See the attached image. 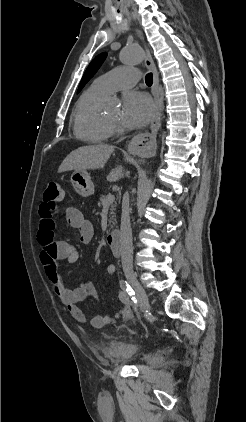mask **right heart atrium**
Returning a JSON list of instances; mask_svg holds the SVG:
<instances>
[{"label": "right heart atrium", "mask_w": 246, "mask_h": 422, "mask_svg": "<svg viewBox=\"0 0 246 422\" xmlns=\"http://www.w3.org/2000/svg\"><path fill=\"white\" fill-rule=\"evenodd\" d=\"M119 131V129L115 125H111V133L115 134Z\"/></svg>", "instance_id": "obj_1"}]
</instances>
